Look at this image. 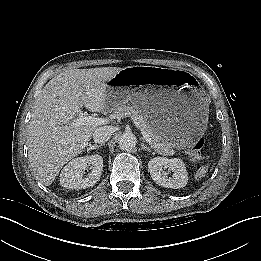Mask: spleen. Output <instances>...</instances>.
<instances>
[{
  "label": "spleen",
  "mask_w": 261,
  "mask_h": 261,
  "mask_svg": "<svg viewBox=\"0 0 261 261\" xmlns=\"http://www.w3.org/2000/svg\"><path fill=\"white\" fill-rule=\"evenodd\" d=\"M208 171V167L207 166H202L199 168V170L196 171L195 173V179H199L202 178L206 175Z\"/></svg>",
  "instance_id": "1"
}]
</instances>
